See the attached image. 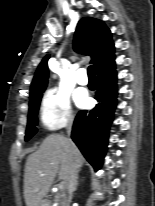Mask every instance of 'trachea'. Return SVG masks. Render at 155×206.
Returning a JSON list of instances; mask_svg holds the SVG:
<instances>
[{
    "label": "trachea",
    "instance_id": "trachea-1",
    "mask_svg": "<svg viewBox=\"0 0 155 206\" xmlns=\"http://www.w3.org/2000/svg\"><path fill=\"white\" fill-rule=\"evenodd\" d=\"M88 76L89 77H95V69H94V66L90 65L88 67Z\"/></svg>",
    "mask_w": 155,
    "mask_h": 206
}]
</instances>
